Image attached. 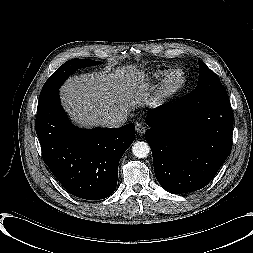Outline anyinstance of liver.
Wrapping results in <instances>:
<instances>
[{"label": "liver", "mask_w": 253, "mask_h": 253, "mask_svg": "<svg viewBox=\"0 0 253 253\" xmlns=\"http://www.w3.org/2000/svg\"><path fill=\"white\" fill-rule=\"evenodd\" d=\"M60 97L72 122L81 127L106 126L111 116L125 115L151 101L147 78L134 66L114 72L69 78Z\"/></svg>", "instance_id": "1"}]
</instances>
